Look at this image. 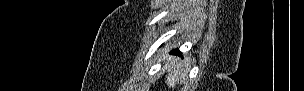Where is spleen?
Here are the masks:
<instances>
[{
    "instance_id": "spleen-1",
    "label": "spleen",
    "mask_w": 304,
    "mask_h": 91,
    "mask_svg": "<svg viewBox=\"0 0 304 91\" xmlns=\"http://www.w3.org/2000/svg\"><path fill=\"white\" fill-rule=\"evenodd\" d=\"M170 72L168 76H166V84L169 86V88L174 89L176 84L181 81L186 73L182 66L178 67V64L175 61H171L169 64Z\"/></svg>"
}]
</instances>
